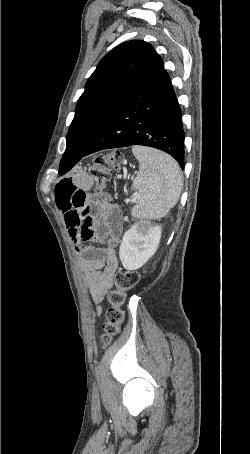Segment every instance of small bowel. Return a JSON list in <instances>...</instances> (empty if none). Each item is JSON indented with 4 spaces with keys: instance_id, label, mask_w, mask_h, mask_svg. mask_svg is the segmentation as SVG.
I'll list each match as a JSON object with an SVG mask.
<instances>
[{
    "instance_id": "obj_1",
    "label": "small bowel",
    "mask_w": 250,
    "mask_h": 454,
    "mask_svg": "<svg viewBox=\"0 0 250 454\" xmlns=\"http://www.w3.org/2000/svg\"><path fill=\"white\" fill-rule=\"evenodd\" d=\"M92 178L83 171L61 179L55 187L69 237L81 255V268L93 300L100 303L113 286L118 268L116 246L123 220L120 209L102 193H89ZM96 244L103 245V247ZM98 307V313H101Z\"/></svg>"
}]
</instances>
